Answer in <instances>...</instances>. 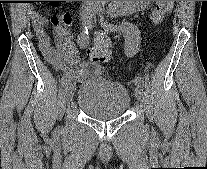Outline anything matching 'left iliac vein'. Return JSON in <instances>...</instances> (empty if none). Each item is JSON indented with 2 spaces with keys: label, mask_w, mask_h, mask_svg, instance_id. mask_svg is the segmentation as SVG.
I'll return each instance as SVG.
<instances>
[{
  "label": "left iliac vein",
  "mask_w": 207,
  "mask_h": 169,
  "mask_svg": "<svg viewBox=\"0 0 207 169\" xmlns=\"http://www.w3.org/2000/svg\"><path fill=\"white\" fill-rule=\"evenodd\" d=\"M135 97L137 98L138 101H142L143 99V90L141 86H136L134 89Z\"/></svg>",
  "instance_id": "obj_1"
}]
</instances>
